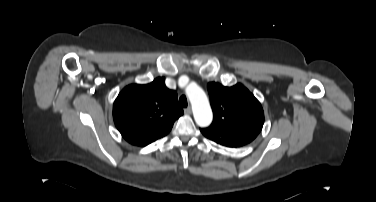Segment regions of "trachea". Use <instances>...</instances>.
Masks as SVG:
<instances>
[{
    "label": "trachea",
    "mask_w": 376,
    "mask_h": 202,
    "mask_svg": "<svg viewBox=\"0 0 376 202\" xmlns=\"http://www.w3.org/2000/svg\"><path fill=\"white\" fill-rule=\"evenodd\" d=\"M179 105L181 107H184V108L187 107L188 102H187V98H186L185 95H183V96L180 97V99H179Z\"/></svg>",
    "instance_id": "1"
}]
</instances>
